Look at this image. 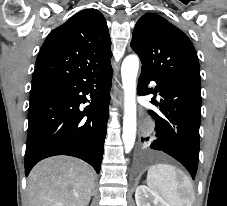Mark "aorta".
I'll return each mask as SVG.
<instances>
[{
  "label": "aorta",
  "mask_w": 227,
  "mask_h": 206,
  "mask_svg": "<svg viewBox=\"0 0 227 206\" xmlns=\"http://www.w3.org/2000/svg\"><path fill=\"white\" fill-rule=\"evenodd\" d=\"M139 69V58L132 54L127 56L121 66V77L124 90V116L122 139L126 153L134 146L136 138V78Z\"/></svg>",
  "instance_id": "obj_1"
}]
</instances>
